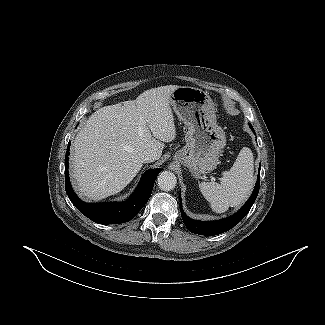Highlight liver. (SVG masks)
Segmentation results:
<instances>
[{
  "label": "liver",
  "instance_id": "liver-1",
  "mask_svg": "<svg viewBox=\"0 0 325 325\" xmlns=\"http://www.w3.org/2000/svg\"><path fill=\"white\" fill-rule=\"evenodd\" d=\"M177 85L152 88L136 100L99 108L80 128L71 154V175L79 195L99 201L122 191L140 171L141 153L176 138L170 108Z\"/></svg>",
  "mask_w": 325,
  "mask_h": 325
}]
</instances>
